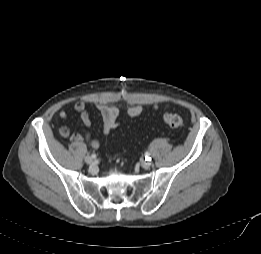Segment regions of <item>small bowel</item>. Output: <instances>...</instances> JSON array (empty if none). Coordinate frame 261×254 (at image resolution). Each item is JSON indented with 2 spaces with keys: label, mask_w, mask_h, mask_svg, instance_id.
<instances>
[{
  "label": "small bowel",
  "mask_w": 261,
  "mask_h": 254,
  "mask_svg": "<svg viewBox=\"0 0 261 254\" xmlns=\"http://www.w3.org/2000/svg\"><path fill=\"white\" fill-rule=\"evenodd\" d=\"M163 106H166V104L154 103L149 105H133L127 109L126 115L128 117L134 118L141 115L146 109L157 110ZM97 108L103 120V133L105 135H109L111 131L114 130L119 124V109L114 105H109L106 103L97 104ZM73 109L77 113H79L83 125L85 127H89L91 125V116L87 110V103L85 101H78L74 104ZM59 117L60 119L65 121L67 119L66 111H59ZM59 134L62 137H70L73 141L76 142L86 141L93 149L99 148L100 145L99 141L95 138H92L89 132L71 133L70 129L67 126H62L59 129Z\"/></svg>",
  "instance_id": "c3829d8e"
}]
</instances>
